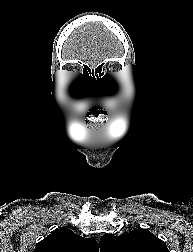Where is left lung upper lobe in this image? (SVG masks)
<instances>
[{
    "mask_svg": "<svg viewBox=\"0 0 193 252\" xmlns=\"http://www.w3.org/2000/svg\"><path fill=\"white\" fill-rule=\"evenodd\" d=\"M100 252H169L166 243L147 229H135L122 236L105 234Z\"/></svg>",
    "mask_w": 193,
    "mask_h": 252,
    "instance_id": "left-lung-upper-lobe-1",
    "label": "left lung upper lobe"
}]
</instances>
